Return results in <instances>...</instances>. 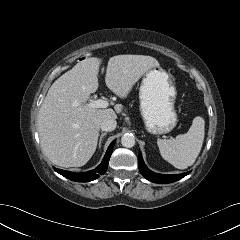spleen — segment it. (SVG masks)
<instances>
[{
	"label": "spleen",
	"instance_id": "3e777b00",
	"mask_svg": "<svg viewBox=\"0 0 240 240\" xmlns=\"http://www.w3.org/2000/svg\"><path fill=\"white\" fill-rule=\"evenodd\" d=\"M205 135V121L197 116L187 133L175 139H158L157 145L163 159L178 169H186L194 164L198 157Z\"/></svg>",
	"mask_w": 240,
	"mask_h": 240
}]
</instances>
